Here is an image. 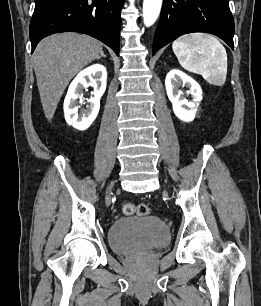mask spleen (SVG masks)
<instances>
[{
    "instance_id": "3e777b00",
    "label": "spleen",
    "mask_w": 261,
    "mask_h": 306,
    "mask_svg": "<svg viewBox=\"0 0 261 306\" xmlns=\"http://www.w3.org/2000/svg\"><path fill=\"white\" fill-rule=\"evenodd\" d=\"M180 65L187 71L200 74L212 85L222 86L227 75V53L214 36L189 33L172 44Z\"/></svg>"
}]
</instances>
